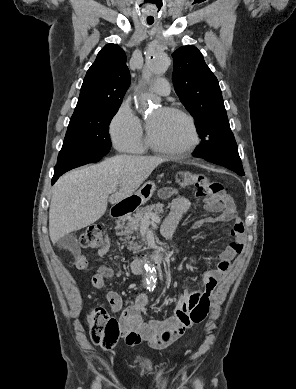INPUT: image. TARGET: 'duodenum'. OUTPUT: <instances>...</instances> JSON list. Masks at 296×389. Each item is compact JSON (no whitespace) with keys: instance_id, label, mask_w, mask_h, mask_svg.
I'll return each instance as SVG.
<instances>
[{"instance_id":"1","label":"duodenum","mask_w":296,"mask_h":389,"mask_svg":"<svg viewBox=\"0 0 296 389\" xmlns=\"http://www.w3.org/2000/svg\"><path fill=\"white\" fill-rule=\"evenodd\" d=\"M139 205V202L136 199L128 198L120 203L116 204L111 210V216L115 219L124 217L125 215L131 213ZM165 258V253L161 250H158L153 253L151 259L155 264L161 263ZM147 260H135L131 263V270L134 274H143L145 273V267L147 266Z\"/></svg>"}]
</instances>
